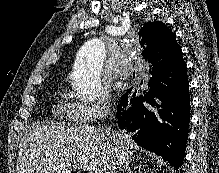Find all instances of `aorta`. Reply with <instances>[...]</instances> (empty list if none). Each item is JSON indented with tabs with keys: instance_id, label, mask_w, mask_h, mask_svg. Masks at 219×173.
Here are the masks:
<instances>
[{
	"instance_id": "762f6f07",
	"label": "aorta",
	"mask_w": 219,
	"mask_h": 173,
	"mask_svg": "<svg viewBox=\"0 0 219 173\" xmlns=\"http://www.w3.org/2000/svg\"><path fill=\"white\" fill-rule=\"evenodd\" d=\"M106 55L101 39L87 41L79 50L72 85L82 100L96 99L101 93V70Z\"/></svg>"
}]
</instances>
